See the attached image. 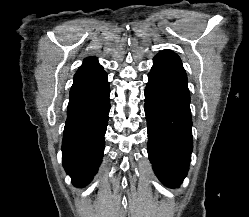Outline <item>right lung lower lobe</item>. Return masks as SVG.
Wrapping results in <instances>:
<instances>
[{
  "instance_id": "98d812e1",
  "label": "right lung lower lobe",
  "mask_w": 249,
  "mask_h": 217,
  "mask_svg": "<svg viewBox=\"0 0 249 217\" xmlns=\"http://www.w3.org/2000/svg\"><path fill=\"white\" fill-rule=\"evenodd\" d=\"M110 89L107 74L94 57L74 75L62 142L63 166L75 186H85L102 162Z\"/></svg>"
}]
</instances>
